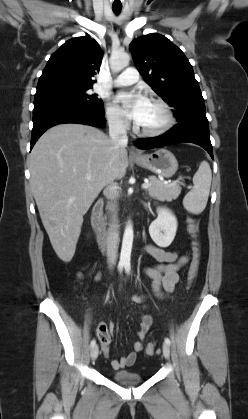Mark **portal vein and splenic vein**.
<instances>
[{
  "instance_id": "portal-vein-and-splenic-vein-1",
  "label": "portal vein and splenic vein",
  "mask_w": 248,
  "mask_h": 419,
  "mask_svg": "<svg viewBox=\"0 0 248 419\" xmlns=\"http://www.w3.org/2000/svg\"><path fill=\"white\" fill-rule=\"evenodd\" d=\"M87 179H88V180H90V179H91V177H90V176H88V177H87ZM171 184H175V183H171ZM150 185H151V184H150V182H145V183H143V184H142V188H143V189H147V188H149V187H150Z\"/></svg>"
}]
</instances>
